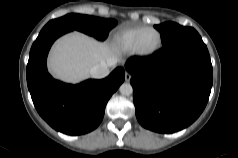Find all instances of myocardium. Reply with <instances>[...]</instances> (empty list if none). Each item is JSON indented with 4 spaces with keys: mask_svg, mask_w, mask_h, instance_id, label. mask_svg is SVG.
Instances as JSON below:
<instances>
[{
    "mask_svg": "<svg viewBox=\"0 0 238 158\" xmlns=\"http://www.w3.org/2000/svg\"><path fill=\"white\" fill-rule=\"evenodd\" d=\"M155 31L158 35V42L156 44V46L151 49L150 51H143L141 48H140V41H141V38L142 36L147 32V31ZM162 46V35L160 33L159 30H157L156 28L154 27H145L143 30H141L135 40H134V43H133V46H132V52L133 54H135L136 56H139V57H150L152 55H154L155 53H157L159 51V49L161 48Z\"/></svg>",
    "mask_w": 238,
    "mask_h": 158,
    "instance_id": "f54148a6",
    "label": "myocardium"
}]
</instances>
